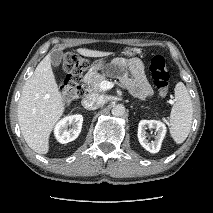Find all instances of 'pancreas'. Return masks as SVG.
<instances>
[{"label":"pancreas","mask_w":213,"mask_h":213,"mask_svg":"<svg viewBox=\"0 0 213 213\" xmlns=\"http://www.w3.org/2000/svg\"><path fill=\"white\" fill-rule=\"evenodd\" d=\"M104 80H106V77L104 75L99 74V73L88 74L84 78V81L87 83L88 90L90 92L102 91L100 89V83Z\"/></svg>","instance_id":"1"}]
</instances>
